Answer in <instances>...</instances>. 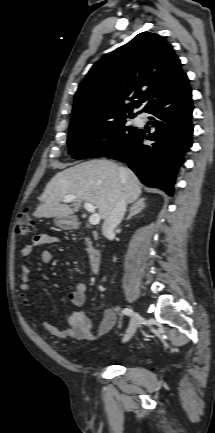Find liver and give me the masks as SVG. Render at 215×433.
<instances>
[{
    "label": "liver",
    "instance_id": "1",
    "mask_svg": "<svg viewBox=\"0 0 215 433\" xmlns=\"http://www.w3.org/2000/svg\"><path fill=\"white\" fill-rule=\"evenodd\" d=\"M120 168L112 161L93 159L57 173L40 196L34 216L71 217L85 201L95 205L100 218L105 219L121 195L132 203L141 194L137 176L127 168L121 174ZM67 195L76 196L73 208L61 204Z\"/></svg>",
    "mask_w": 215,
    "mask_h": 433
}]
</instances>
